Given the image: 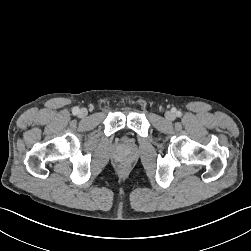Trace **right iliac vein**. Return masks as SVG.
I'll use <instances>...</instances> for the list:
<instances>
[{"mask_svg":"<svg viewBox=\"0 0 251 251\" xmlns=\"http://www.w3.org/2000/svg\"><path fill=\"white\" fill-rule=\"evenodd\" d=\"M88 114L87 109L83 108L79 111V116L85 117Z\"/></svg>","mask_w":251,"mask_h":251,"instance_id":"obj_1","label":"right iliac vein"}]
</instances>
